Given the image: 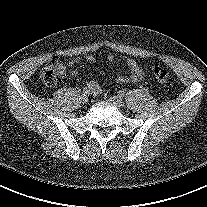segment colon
Listing matches in <instances>:
<instances>
[{
	"mask_svg": "<svg viewBox=\"0 0 207 207\" xmlns=\"http://www.w3.org/2000/svg\"><path fill=\"white\" fill-rule=\"evenodd\" d=\"M61 72L62 64L57 60H52L41 72L42 81L47 86H53L56 83L57 78L61 76ZM153 73L156 80L159 82H165L168 78L167 71L161 67H155Z\"/></svg>",
	"mask_w": 207,
	"mask_h": 207,
	"instance_id": "5ec220e1",
	"label": "colon"
}]
</instances>
